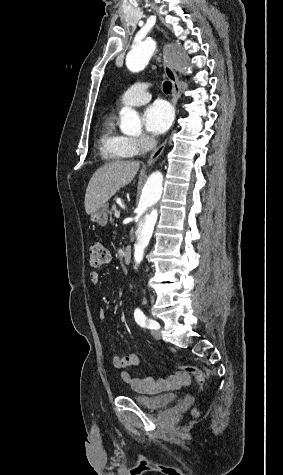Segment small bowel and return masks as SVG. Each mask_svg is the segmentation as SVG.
Instances as JSON below:
<instances>
[{
    "label": "small bowel",
    "instance_id": "obj_1",
    "mask_svg": "<svg viewBox=\"0 0 283 475\" xmlns=\"http://www.w3.org/2000/svg\"><path fill=\"white\" fill-rule=\"evenodd\" d=\"M89 280L91 284L93 285H98L100 283V274L97 271H92L89 274ZM98 317L100 320L104 321L108 317V313L105 309L101 308L98 311ZM139 363V358L135 354H126L123 356L115 355L112 358V365L114 368L118 369L121 371V377L122 379L130 384L132 388L135 390L141 389L144 385L151 383L153 380L151 379H142L138 378L134 375H132L130 372L126 371L125 369L130 366L137 365ZM167 380L172 384L173 388H177L181 385H184L185 383L181 379L179 374H174L171 375L167 378ZM157 383L158 384H163L164 383V378L163 377H158L157 378Z\"/></svg>",
    "mask_w": 283,
    "mask_h": 475
}]
</instances>
